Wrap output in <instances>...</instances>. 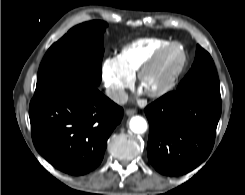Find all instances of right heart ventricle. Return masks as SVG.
Returning a JSON list of instances; mask_svg holds the SVG:
<instances>
[{
  "label": "right heart ventricle",
  "mask_w": 245,
  "mask_h": 195,
  "mask_svg": "<svg viewBox=\"0 0 245 195\" xmlns=\"http://www.w3.org/2000/svg\"><path fill=\"white\" fill-rule=\"evenodd\" d=\"M169 43L171 42L160 38L138 39L124 46L117 59L122 68L133 77L155 52Z\"/></svg>",
  "instance_id": "right-heart-ventricle-1"
}]
</instances>
